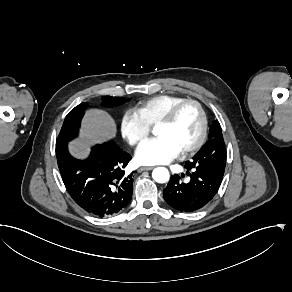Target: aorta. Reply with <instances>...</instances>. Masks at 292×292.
I'll return each mask as SVG.
<instances>
[{
    "label": "aorta",
    "mask_w": 292,
    "mask_h": 292,
    "mask_svg": "<svg viewBox=\"0 0 292 292\" xmlns=\"http://www.w3.org/2000/svg\"><path fill=\"white\" fill-rule=\"evenodd\" d=\"M153 179L158 183H166L169 181V171L165 167H157L152 172Z\"/></svg>",
    "instance_id": "aorta-1"
}]
</instances>
